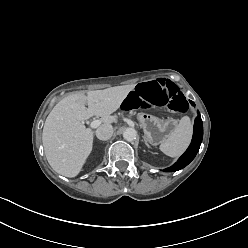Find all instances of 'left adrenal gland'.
<instances>
[{"label":"left adrenal gland","mask_w":248,"mask_h":248,"mask_svg":"<svg viewBox=\"0 0 248 248\" xmlns=\"http://www.w3.org/2000/svg\"><path fill=\"white\" fill-rule=\"evenodd\" d=\"M144 141H145L146 146L149 148L150 146H149V144L147 143V141H146V140H144Z\"/></svg>","instance_id":"1"}]
</instances>
